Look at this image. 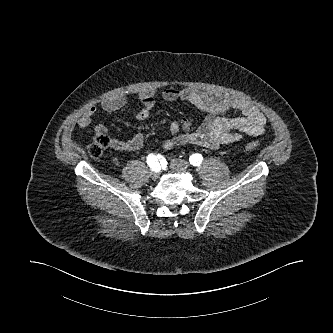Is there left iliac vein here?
I'll return each instance as SVG.
<instances>
[{
	"mask_svg": "<svg viewBox=\"0 0 333 333\" xmlns=\"http://www.w3.org/2000/svg\"><path fill=\"white\" fill-rule=\"evenodd\" d=\"M188 163L182 160H172L170 162V168L176 172L183 173L188 170Z\"/></svg>",
	"mask_w": 333,
	"mask_h": 333,
	"instance_id": "obj_1",
	"label": "left iliac vein"
}]
</instances>
